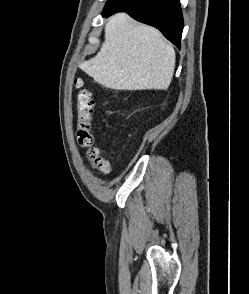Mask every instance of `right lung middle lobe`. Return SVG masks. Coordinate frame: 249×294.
<instances>
[{"mask_svg": "<svg viewBox=\"0 0 249 294\" xmlns=\"http://www.w3.org/2000/svg\"><path fill=\"white\" fill-rule=\"evenodd\" d=\"M122 1L123 0H108L107 3H106L105 9L110 8V7H113V6L119 4Z\"/></svg>", "mask_w": 249, "mask_h": 294, "instance_id": "obj_1", "label": "right lung middle lobe"}]
</instances>
